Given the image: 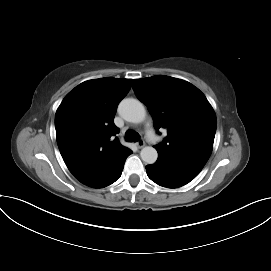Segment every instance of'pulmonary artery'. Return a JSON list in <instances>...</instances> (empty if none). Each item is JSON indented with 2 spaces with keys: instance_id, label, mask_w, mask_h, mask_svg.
I'll return each instance as SVG.
<instances>
[{
  "instance_id": "pulmonary-artery-1",
  "label": "pulmonary artery",
  "mask_w": 271,
  "mask_h": 271,
  "mask_svg": "<svg viewBox=\"0 0 271 271\" xmlns=\"http://www.w3.org/2000/svg\"><path fill=\"white\" fill-rule=\"evenodd\" d=\"M148 135H149L150 137H152V136H153V133H152V131H151V130H149V131H148Z\"/></svg>"
}]
</instances>
